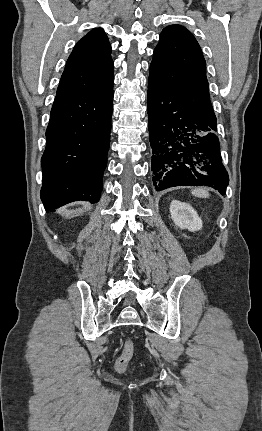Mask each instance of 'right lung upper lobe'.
I'll list each match as a JSON object with an SVG mask.
<instances>
[{
    "label": "right lung upper lobe",
    "mask_w": 262,
    "mask_h": 431,
    "mask_svg": "<svg viewBox=\"0 0 262 431\" xmlns=\"http://www.w3.org/2000/svg\"><path fill=\"white\" fill-rule=\"evenodd\" d=\"M111 45L104 32L93 29L74 47L62 74L57 96L102 95L113 88Z\"/></svg>",
    "instance_id": "obj_1"
}]
</instances>
